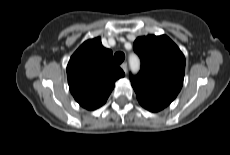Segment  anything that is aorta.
I'll return each instance as SVG.
<instances>
[{
  "mask_svg": "<svg viewBox=\"0 0 230 155\" xmlns=\"http://www.w3.org/2000/svg\"><path fill=\"white\" fill-rule=\"evenodd\" d=\"M129 63L133 71H137L139 69L140 63L139 59L136 56H131L129 59Z\"/></svg>",
  "mask_w": 230,
  "mask_h": 155,
  "instance_id": "obj_1",
  "label": "aorta"
}]
</instances>
